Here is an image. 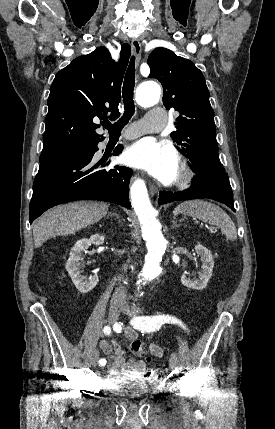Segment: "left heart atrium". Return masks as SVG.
<instances>
[{"mask_svg": "<svg viewBox=\"0 0 275 429\" xmlns=\"http://www.w3.org/2000/svg\"><path fill=\"white\" fill-rule=\"evenodd\" d=\"M122 159L126 164L144 168L164 183L175 180L178 173L177 154L163 142L138 141L125 151Z\"/></svg>", "mask_w": 275, "mask_h": 429, "instance_id": "obj_1", "label": "left heart atrium"}]
</instances>
